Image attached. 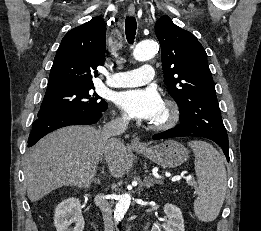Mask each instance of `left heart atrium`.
<instances>
[{
	"mask_svg": "<svg viewBox=\"0 0 261 231\" xmlns=\"http://www.w3.org/2000/svg\"><path fill=\"white\" fill-rule=\"evenodd\" d=\"M119 107L134 118L153 121L163 107L162 99L154 88H138L119 93Z\"/></svg>",
	"mask_w": 261,
	"mask_h": 231,
	"instance_id": "left-heart-atrium-1",
	"label": "left heart atrium"
}]
</instances>
